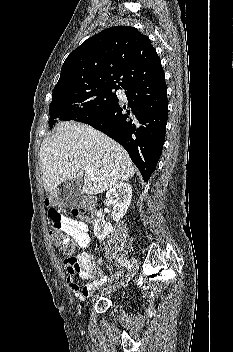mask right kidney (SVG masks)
Segmentation results:
<instances>
[{"label": "right kidney", "instance_id": "right-kidney-1", "mask_svg": "<svg viewBox=\"0 0 233 352\" xmlns=\"http://www.w3.org/2000/svg\"><path fill=\"white\" fill-rule=\"evenodd\" d=\"M132 198V189L129 183H119L106 193L107 201L113 205V220L118 222L126 214ZM113 231L110 223L104 220L102 212H97L94 224V235L99 240H104Z\"/></svg>", "mask_w": 233, "mask_h": 352}]
</instances>
